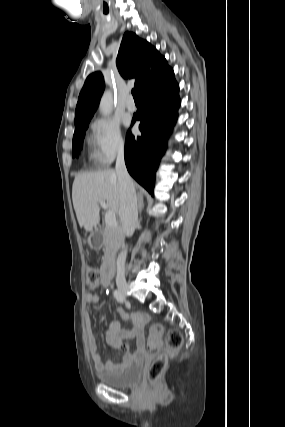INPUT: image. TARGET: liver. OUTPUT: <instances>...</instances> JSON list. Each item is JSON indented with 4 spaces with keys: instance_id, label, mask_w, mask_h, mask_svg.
Masks as SVG:
<instances>
[{
    "instance_id": "1",
    "label": "liver",
    "mask_w": 285,
    "mask_h": 427,
    "mask_svg": "<svg viewBox=\"0 0 285 427\" xmlns=\"http://www.w3.org/2000/svg\"><path fill=\"white\" fill-rule=\"evenodd\" d=\"M72 200L78 223L86 231L100 222L99 200H104L110 211L119 214L121 195L116 171L78 174L72 186Z\"/></svg>"
}]
</instances>
